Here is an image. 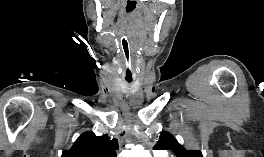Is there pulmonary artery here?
I'll return each mask as SVG.
<instances>
[{
    "mask_svg": "<svg viewBox=\"0 0 264 157\" xmlns=\"http://www.w3.org/2000/svg\"><path fill=\"white\" fill-rule=\"evenodd\" d=\"M157 156H166V152L164 151H157Z\"/></svg>",
    "mask_w": 264,
    "mask_h": 157,
    "instance_id": "obj_1",
    "label": "pulmonary artery"
}]
</instances>
